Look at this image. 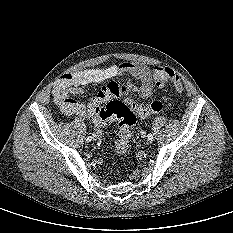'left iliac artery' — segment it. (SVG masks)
I'll list each match as a JSON object with an SVG mask.
<instances>
[{"instance_id": "left-iliac-artery-1", "label": "left iliac artery", "mask_w": 233, "mask_h": 233, "mask_svg": "<svg viewBox=\"0 0 233 233\" xmlns=\"http://www.w3.org/2000/svg\"><path fill=\"white\" fill-rule=\"evenodd\" d=\"M147 138H148V141H152L153 140V134L152 133H149L147 135Z\"/></svg>"}]
</instances>
